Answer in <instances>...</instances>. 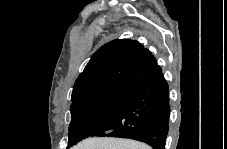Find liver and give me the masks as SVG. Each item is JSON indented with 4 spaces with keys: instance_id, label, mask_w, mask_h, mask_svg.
<instances>
[{
    "instance_id": "1",
    "label": "liver",
    "mask_w": 227,
    "mask_h": 149,
    "mask_svg": "<svg viewBox=\"0 0 227 149\" xmlns=\"http://www.w3.org/2000/svg\"><path fill=\"white\" fill-rule=\"evenodd\" d=\"M76 149H150L144 143L122 138L94 137L78 144Z\"/></svg>"
}]
</instances>
